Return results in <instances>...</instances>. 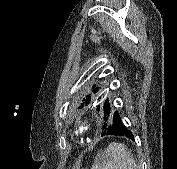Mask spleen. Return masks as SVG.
<instances>
[{"label": "spleen", "instance_id": "obj_1", "mask_svg": "<svg viewBox=\"0 0 177 169\" xmlns=\"http://www.w3.org/2000/svg\"><path fill=\"white\" fill-rule=\"evenodd\" d=\"M92 169H138L131 150L125 144L113 142L98 153Z\"/></svg>", "mask_w": 177, "mask_h": 169}]
</instances>
